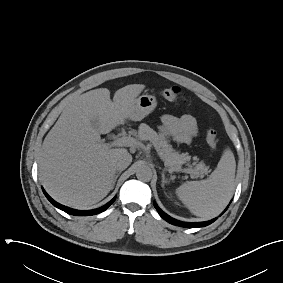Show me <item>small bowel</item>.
<instances>
[{"label":"small bowel","mask_w":283,"mask_h":283,"mask_svg":"<svg viewBox=\"0 0 283 283\" xmlns=\"http://www.w3.org/2000/svg\"><path fill=\"white\" fill-rule=\"evenodd\" d=\"M159 128L166 137L180 144H189L198 134L196 119L189 113L180 117L165 114Z\"/></svg>","instance_id":"1"}]
</instances>
